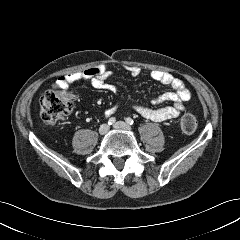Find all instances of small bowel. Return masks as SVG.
Masks as SVG:
<instances>
[{
  "instance_id": "c3829d8e",
  "label": "small bowel",
  "mask_w": 240,
  "mask_h": 240,
  "mask_svg": "<svg viewBox=\"0 0 240 240\" xmlns=\"http://www.w3.org/2000/svg\"><path fill=\"white\" fill-rule=\"evenodd\" d=\"M126 69L133 76H137L140 73V69L136 66H129ZM111 75V72L105 65H96L63 75L57 79L56 83L61 88H67L72 83L87 81L96 89L116 93L118 87L108 82ZM151 78L154 82L171 87L173 91L164 93L150 104L136 103L134 105L135 110L144 118L155 122H162L178 117L185 110V102L190 98V92L185 87L183 81L168 72L159 70L152 71ZM165 102H172L173 104L170 106L155 107ZM115 110V107L108 108L105 110V115L110 116Z\"/></svg>"
}]
</instances>
